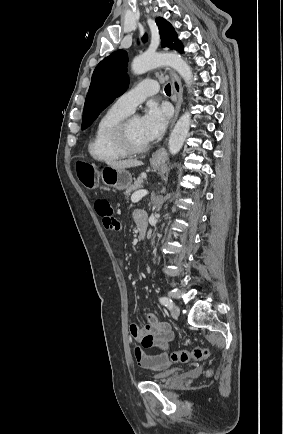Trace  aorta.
<instances>
[{
  "instance_id": "aorta-1",
  "label": "aorta",
  "mask_w": 283,
  "mask_h": 434,
  "mask_svg": "<svg viewBox=\"0 0 283 434\" xmlns=\"http://www.w3.org/2000/svg\"><path fill=\"white\" fill-rule=\"evenodd\" d=\"M170 66L175 69L185 81L187 87L192 83V70L190 66L178 54H143L134 58L131 68L134 74H143L150 69L159 66ZM191 114L186 111L177 121L169 138V151L176 154L180 151L188 135L190 128Z\"/></svg>"
}]
</instances>
